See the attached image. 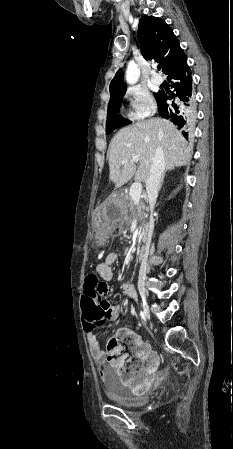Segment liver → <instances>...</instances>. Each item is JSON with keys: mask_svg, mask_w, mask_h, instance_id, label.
Wrapping results in <instances>:
<instances>
[{"mask_svg": "<svg viewBox=\"0 0 233 449\" xmlns=\"http://www.w3.org/2000/svg\"><path fill=\"white\" fill-rule=\"evenodd\" d=\"M157 147L162 148L165 165L171 170L186 165L191 159L193 148L173 123L161 118L139 121L119 130L109 144L110 180L117 188L134 175L136 180L146 181ZM132 155L139 157L137 171Z\"/></svg>", "mask_w": 233, "mask_h": 449, "instance_id": "6515ba94", "label": "liver"}]
</instances>
